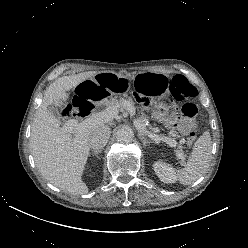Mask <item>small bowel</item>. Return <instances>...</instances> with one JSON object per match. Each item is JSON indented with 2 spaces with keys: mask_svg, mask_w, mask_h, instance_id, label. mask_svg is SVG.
Returning <instances> with one entry per match:
<instances>
[{
  "mask_svg": "<svg viewBox=\"0 0 248 248\" xmlns=\"http://www.w3.org/2000/svg\"><path fill=\"white\" fill-rule=\"evenodd\" d=\"M171 126L179 129L182 133H186L187 130H189L190 128L193 127V125L191 123L182 124V123H180V121H172Z\"/></svg>",
  "mask_w": 248,
  "mask_h": 248,
  "instance_id": "c3829d8e",
  "label": "small bowel"
}]
</instances>
